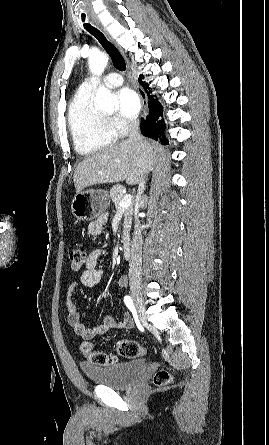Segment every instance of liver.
I'll return each mask as SVG.
<instances>
[{
  "instance_id": "6515ba94",
  "label": "liver",
  "mask_w": 269,
  "mask_h": 445,
  "mask_svg": "<svg viewBox=\"0 0 269 445\" xmlns=\"http://www.w3.org/2000/svg\"><path fill=\"white\" fill-rule=\"evenodd\" d=\"M156 144L123 140L86 157L73 175L76 194L92 185L126 181L138 184L147 169Z\"/></svg>"
}]
</instances>
